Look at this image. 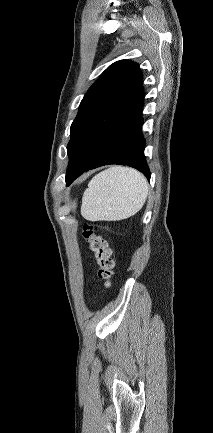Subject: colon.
Listing matches in <instances>:
<instances>
[{
	"mask_svg": "<svg viewBox=\"0 0 213 433\" xmlns=\"http://www.w3.org/2000/svg\"><path fill=\"white\" fill-rule=\"evenodd\" d=\"M83 238L88 242L94 254L97 277L103 283V292L111 287L112 277L114 276L115 261L108 241L94 232L91 224H84L82 228Z\"/></svg>",
	"mask_w": 213,
	"mask_h": 433,
	"instance_id": "obj_1",
	"label": "colon"
}]
</instances>
